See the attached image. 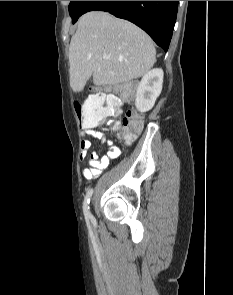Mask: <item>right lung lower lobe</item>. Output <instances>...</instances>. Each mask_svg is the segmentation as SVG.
<instances>
[{
    "label": "right lung lower lobe",
    "instance_id": "1",
    "mask_svg": "<svg viewBox=\"0 0 233 295\" xmlns=\"http://www.w3.org/2000/svg\"><path fill=\"white\" fill-rule=\"evenodd\" d=\"M179 1H87L82 14L106 11L146 31L166 52L176 22Z\"/></svg>",
    "mask_w": 233,
    "mask_h": 295
}]
</instances>
